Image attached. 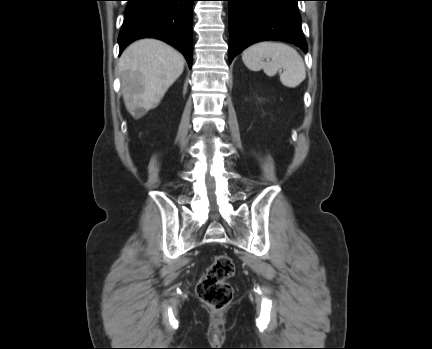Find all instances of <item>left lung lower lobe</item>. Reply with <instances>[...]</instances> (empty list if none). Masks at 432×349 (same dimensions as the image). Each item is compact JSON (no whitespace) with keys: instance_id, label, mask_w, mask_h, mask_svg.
<instances>
[{"instance_id":"obj_1","label":"left lung lower lobe","mask_w":432,"mask_h":349,"mask_svg":"<svg viewBox=\"0 0 432 349\" xmlns=\"http://www.w3.org/2000/svg\"><path fill=\"white\" fill-rule=\"evenodd\" d=\"M229 1V63L253 43L266 40L291 42L307 52L298 13L299 0Z\"/></svg>"}]
</instances>
